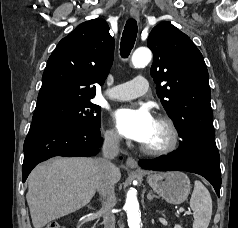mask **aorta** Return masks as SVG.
Instances as JSON below:
<instances>
[{
  "instance_id": "762f6f07",
  "label": "aorta",
  "mask_w": 238,
  "mask_h": 228,
  "mask_svg": "<svg viewBox=\"0 0 238 228\" xmlns=\"http://www.w3.org/2000/svg\"><path fill=\"white\" fill-rule=\"evenodd\" d=\"M152 58V53L148 48H138L132 55V64L136 68L146 66ZM125 210L129 228H142L141 215L139 213V203L135 191L129 190L126 195Z\"/></svg>"
}]
</instances>
